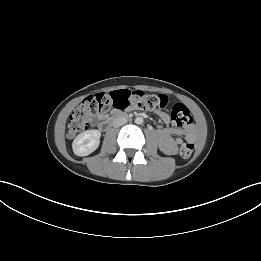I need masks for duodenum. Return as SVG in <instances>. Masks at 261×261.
<instances>
[{"mask_svg": "<svg viewBox=\"0 0 261 261\" xmlns=\"http://www.w3.org/2000/svg\"><path fill=\"white\" fill-rule=\"evenodd\" d=\"M122 118H126V115L122 114V113H114L110 118L102 120L98 124V128L101 131H106V130H108L112 126V123L115 120L122 119Z\"/></svg>", "mask_w": 261, "mask_h": 261, "instance_id": "duodenum-1", "label": "duodenum"}]
</instances>
